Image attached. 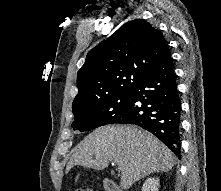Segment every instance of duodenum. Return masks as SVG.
I'll return each mask as SVG.
<instances>
[{
  "label": "duodenum",
  "mask_w": 221,
  "mask_h": 191,
  "mask_svg": "<svg viewBox=\"0 0 221 191\" xmlns=\"http://www.w3.org/2000/svg\"><path fill=\"white\" fill-rule=\"evenodd\" d=\"M103 188L105 191H122L120 186L110 178L103 179Z\"/></svg>",
  "instance_id": "duodenum-1"
}]
</instances>
